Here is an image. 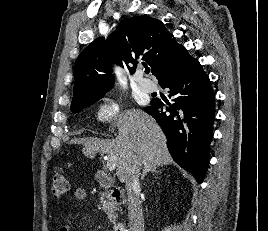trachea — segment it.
Instances as JSON below:
<instances>
[{
    "mask_svg": "<svg viewBox=\"0 0 268 231\" xmlns=\"http://www.w3.org/2000/svg\"><path fill=\"white\" fill-rule=\"evenodd\" d=\"M150 72V68L145 67V73L148 74Z\"/></svg>",
    "mask_w": 268,
    "mask_h": 231,
    "instance_id": "trachea-1",
    "label": "trachea"
}]
</instances>
